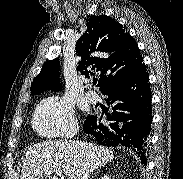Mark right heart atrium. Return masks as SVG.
Instances as JSON below:
<instances>
[{"mask_svg": "<svg viewBox=\"0 0 183 179\" xmlns=\"http://www.w3.org/2000/svg\"><path fill=\"white\" fill-rule=\"evenodd\" d=\"M33 126L35 130L51 138L65 137L77 130L73 103L63 96H51L36 107Z\"/></svg>", "mask_w": 183, "mask_h": 179, "instance_id": "right-heart-atrium-1", "label": "right heart atrium"}]
</instances>
